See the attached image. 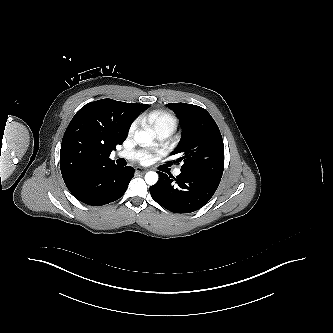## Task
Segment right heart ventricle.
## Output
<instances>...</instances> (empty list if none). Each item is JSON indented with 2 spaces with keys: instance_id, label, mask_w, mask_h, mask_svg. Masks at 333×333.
Returning a JSON list of instances; mask_svg holds the SVG:
<instances>
[{
  "instance_id": "e07e8e85",
  "label": "right heart ventricle",
  "mask_w": 333,
  "mask_h": 333,
  "mask_svg": "<svg viewBox=\"0 0 333 333\" xmlns=\"http://www.w3.org/2000/svg\"><path fill=\"white\" fill-rule=\"evenodd\" d=\"M148 121L152 124L153 128L157 131L162 128H176V118L166 111H154L149 114Z\"/></svg>"
}]
</instances>
